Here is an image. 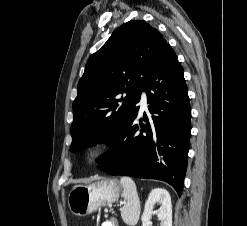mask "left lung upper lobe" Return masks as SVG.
<instances>
[{
    "label": "left lung upper lobe",
    "mask_w": 247,
    "mask_h": 226,
    "mask_svg": "<svg viewBox=\"0 0 247 226\" xmlns=\"http://www.w3.org/2000/svg\"><path fill=\"white\" fill-rule=\"evenodd\" d=\"M166 44L161 33L144 20H131L116 29L90 57L73 102L72 152L98 140L109 145L116 140Z\"/></svg>",
    "instance_id": "5c2ea615"
}]
</instances>
